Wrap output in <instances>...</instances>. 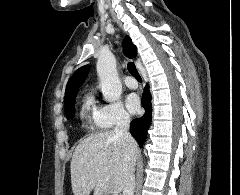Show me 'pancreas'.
<instances>
[{"label":"pancreas","instance_id":"pancreas-1","mask_svg":"<svg viewBox=\"0 0 240 195\" xmlns=\"http://www.w3.org/2000/svg\"><path fill=\"white\" fill-rule=\"evenodd\" d=\"M99 191H95V195H98Z\"/></svg>","mask_w":240,"mask_h":195}]
</instances>
